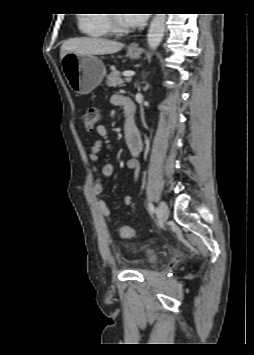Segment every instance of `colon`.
Segmentation results:
<instances>
[{
	"mask_svg": "<svg viewBox=\"0 0 254 355\" xmlns=\"http://www.w3.org/2000/svg\"><path fill=\"white\" fill-rule=\"evenodd\" d=\"M99 109L97 107H88L83 115V122L87 130L93 131L99 121ZM117 233L121 238L129 239L134 235L133 227L130 225H119Z\"/></svg>",
	"mask_w": 254,
	"mask_h": 355,
	"instance_id": "obj_1",
	"label": "colon"
}]
</instances>
